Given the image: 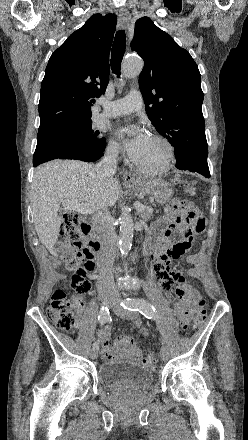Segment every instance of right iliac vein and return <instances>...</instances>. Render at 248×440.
Segmentation results:
<instances>
[{"mask_svg": "<svg viewBox=\"0 0 248 440\" xmlns=\"http://www.w3.org/2000/svg\"><path fill=\"white\" fill-rule=\"evenodd\" d=\"M104 303L106 305H108L109 307H111L113 305V303H114V300L112 298H110V297H105L104 298ZM90 357L92 359H96L98 357V350L97 349L91 350Z\"/></svg>", "mask_w": 248, "mask_h": 440, "instance_id": "63e3f726", "label": "right iliac vein"}]
</instances>
